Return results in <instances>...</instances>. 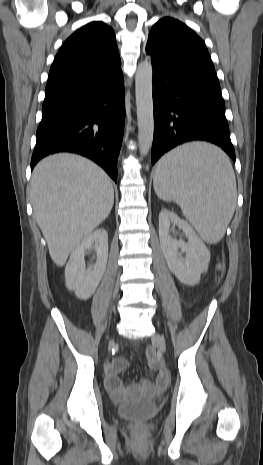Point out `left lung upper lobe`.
<instances>
[{
    "label": "left lung upper lobe",
    "instance_id": "obj_1",
    "mask_svg": "<svg viewBox=\"0 0 263 465\" xmlns=\"http://www.w3.org/2000/svg\"><path fill=\"white\" fill-rule=\"evenodd\" d=\"M146 53L172 64L203 66L214 70L201 38L182 22L165 17L152 27Z\"/></svg>",
    "mask_w": 263,
    "mask_h": 465
}]
</instances>
